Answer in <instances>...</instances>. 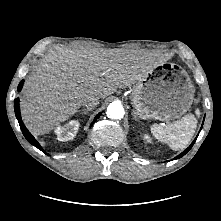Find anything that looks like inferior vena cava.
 <instances>
[{
  "mask_svg": "<svg viewBox=\"0 0 221 221\" xmlns=\"http://www.w3.org/2000/svg\"><path fill=\"white\" fill-rule=\"evenodd\" d=\"M82 103L86 108L92 109L99 104V97L94 94H87L83 98Z\"/></svg>",
  "mask_w": 221,
  "mask_h": 221,
  "instance_id": "inferior-vena-cava-1",
  "label": "inferior vena cava"
}]
</instances>
